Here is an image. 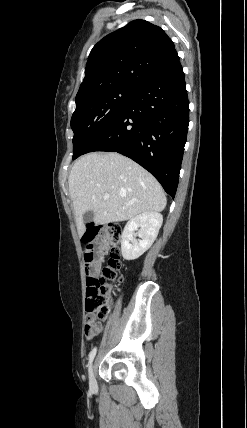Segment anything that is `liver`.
I'll return each instance as SVG.
<instances>
[{
	"label": "liver",
	"instance_id": "6515ba94",
	"mask_svg": "<svg viewBox=\"0 0 247 428\" xmlns=\"http://www.w3.org/2000/svg\"><path fill=\"white\" fill-rule=\"evenodd\" d=\"M79 235L83 215L93 211L97 225L126 221L145 212H161L167 200L161 185L144 168L118 153L80 157L68 177ZM108 194L109 199H104Z\"/></svg>",
	"mask_w": 247,
	"mask_h": 428
}]
</instances>
